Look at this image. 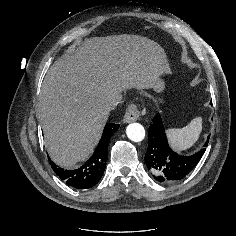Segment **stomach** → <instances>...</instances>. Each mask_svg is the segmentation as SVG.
<instances>
[{
    "mask_svg": "<svg viewBox=\"0 0 236 236\" xmlns=\"http://www.w3.org/2000/svg\"><path fill=\"white\" fill-rule=\"evenodd\" d=\"M164 88H165L164 80L161 77H159L157 84L153 89L157 92H161L164 90Z\"/></svg>",
    "mask_w": 236,
    "mask_h": 236,
    "instance_id": "stomach-1",
    "label": "stomach"
}]
</instances>
